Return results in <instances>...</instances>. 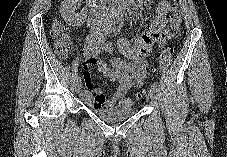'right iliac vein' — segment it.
<instances>
[{"mask_svg": "<svg viewBox=\"0 0 227 157\" xmlns=\"http://www.w3.org/2000/svg\"><path fill=\"white\" fill-rule=\"evenodd\" d=\"M74 88H75V91L79 93L81 90V83L80 82L75 83Z\"/></svg>", "mask_w": 227, "mask_h": 157, "instance_id": "63e3f726", "label": "right iliac vein"}]
</instances>
